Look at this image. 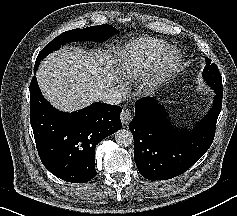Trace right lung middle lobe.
<instances>
[{"mask_svg": "<svg viewBox=\"0 0 237 216\" xmlns=\"http://www.w3.org/2000/svg\"><path fill=\"white\" fill-rule=\"evenodd\" d=\"M117 32L118 30L109 24L66 31L54 38L41 50L36 58L34 67L38 68L41 60H43L48 54L58 50L61 46L68 42H77L84 40L102 42L113 36Z\"/></svg>", "mask_w": 237, "mask_h": 216, "instance_id": "right-lung-middle-lobe-1", "label": "right lung middle lobe"}]
</instances>
